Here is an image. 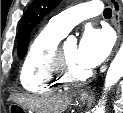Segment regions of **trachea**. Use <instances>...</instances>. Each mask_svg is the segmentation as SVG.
Masks as SVG:
<instances>
[{"label":"trachea","mask_w":123,"mask_h":113,"mask_svg":"<svg viewBox=\"0 0 123 113\" xmlns=\"http://www.w3.org/2000/svg\"><path fill=\"white\" fill-rule=\"evenodd\" d=\"M103 15H104L105 17H111V16H112V10H111L110 8H106V9L104 10Z\"/></svg>","instance_id":"trachea-1"}]
</instances>
